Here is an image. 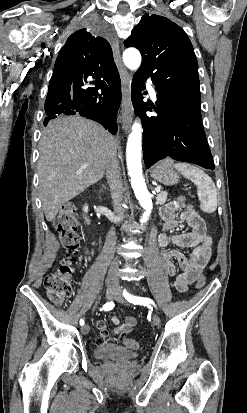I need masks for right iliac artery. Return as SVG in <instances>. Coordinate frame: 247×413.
Returning a JSON list of instances; mask_svg holds the SVG:
<instances>
[{
    "label": "right iliac artery",
    "instance_id": "1",
    "mask_svg": "<svg viewBox=\"0 0 247 413\" xmlns=\"http://www.w3.org/2000/svg\"><path fill=\"white\" fill-rule=\"evenodd\" d=\"M113 307H114V303L111 301V302H107L106 304H104L103 308L100 309V310L101 311L102 310L109 311V310L113 309ZM84 324H85L84 320L80 319V325L83 326Z\"/></svg>",
    "mask_w": 247,
    "mask_h": 413
}]
</instances>
